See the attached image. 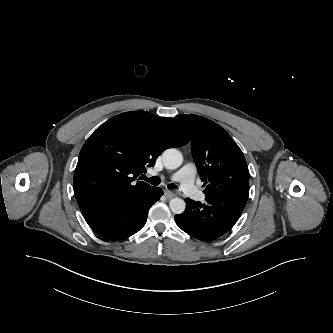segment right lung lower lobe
Wrapping results in <instances>:
<instances>
[{
	"label": "right lung lower lobe",
	"instance_id": "1",
	"mask_svg": "<svg viewBox=\"0 0 333 333\" xmlns=\"http://www.w3.org/2000/svg\"><path fill=\"white\" fill-rule=\"evenodd\" d=\"M163 194L153 187L142 197L128 202H99L81 207L88 225L108 240L125 239L138 232L146 223L150 207Z\"/></svg>",
	"mask_w": 333,
	"mask_h": 333
}]
</instances>
